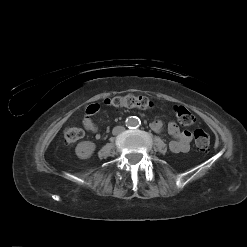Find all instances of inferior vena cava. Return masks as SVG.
<instances>
[{
    "label": "inferior vena cava",
    "mask_w": 247,
    "mask_h": 247,
    "mask_svg": "<svg viewBox=\"0 0 247 247\" xmlns=\"http://www.w3.org/2000/svg\"><path fill=\"white\" fill-rule=\"evenodd\" d=\"M124 130H125V128H124L123 126H116V127L113 128L112 133H113L114 135H118V134H120L121 132H123Z\"/></svg>",
    "instance_id": "obj_1"
}]
</instances>
